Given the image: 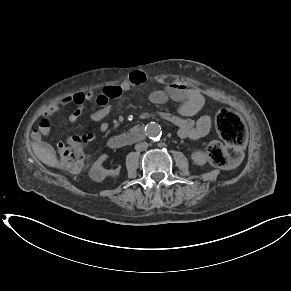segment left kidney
<instances>
[{
	"label": "left kidney",
	"mask_w": 291,
	"mask_h": 291,
	"mask_svg": "<svg viewBox=\"0 0 291 291\" xmlns=\"http://www.w3.org/2000/svg\"><path fill=\"white\" fill-rule=\"evenodd\" d=\"M191 158L195 164L200 165V166L204 165L207 162V156L202 151L193 152L191 155Z\"/></svg>",
	"instance_id": "1"
}]
</instances>
